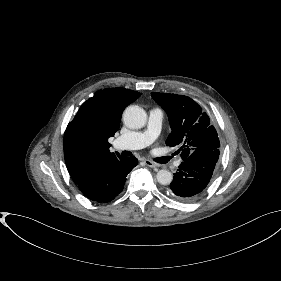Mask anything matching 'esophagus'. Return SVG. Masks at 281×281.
<instances>
[{
    "label": "esophagus",
    "instance_id": "obj_1",
    "mask_svg": "<svg viewBox=\"0 0 281 281\" xmlns=\"http://www.w3.org/2000/svg\"><path fill=\"white\" fill-rule=\"evenodd\" d=\"M145 165L151 167V168H156L158 167V164L154 163L153 161H150V160H145L144 161Z\"/></svg>",
    "mask_w": 281,
    "mask_h": 281
}]
</instances>
